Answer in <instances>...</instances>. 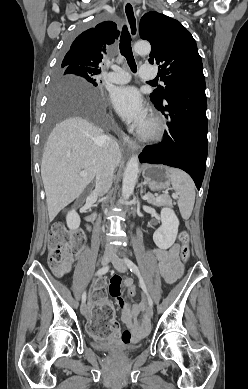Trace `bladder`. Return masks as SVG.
<instances>
[{
  "label": "bladder",
  "instance_id": "obj_1",
  "mask_svg": "<svg viewBox=\"0 0 248 389\" xmlns=\"http://www.w3.org/2000/svg\"><path fill=\"white\" fill-rule=\"evenodd\" d=\"M92 346L97 351L109 354H128L136 349L133 346H127L118 342H101L97 340L92 341Z\"/></svg>",
  "mask_w": 248,
  "mask_h": 389
}]
</instances>
